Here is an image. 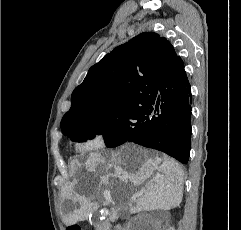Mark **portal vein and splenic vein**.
Returning <instances> with one entry per match:
<instances>
[{
  "instance_id": "portal-vein-and-splenic-vein-1",
  "label": "portal vein and splenic vein",
  "mask_w": 241,
  "mask_h": 230,
  "mask_svg": "<svg viewBox=\"0 0 241 230\" xmlns=\"http://www.w3.org/2000/svg\"><path fill=\"white\" fill-rule=\"evenodd\" d=\"M104 197H105V199L108 200V201H111V200H112L110 195L104 194Z\"/></svg>"
}]
</instances>
